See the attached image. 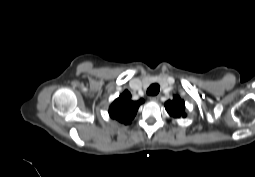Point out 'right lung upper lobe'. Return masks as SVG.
I'll list each match as a JSON object with an SVG mask.
<instances>
[{"label": "right lung upper lobe", "mask_w": 255, "mask_h": 177, "mask_svg": "<svg viewBox=\"0 0 255 177\" xmlns=\"http://www.w3.org/2000/svg\"><path fill=\"white\" fill-rule=\"evenodd\" d=\"M144 103L143 99L138 101L131 100V94L125 90L109 108V115L122 124H130L135 117L139 106Z\"/></svg>", "instance_id": "obj_1"}]
</instances>
